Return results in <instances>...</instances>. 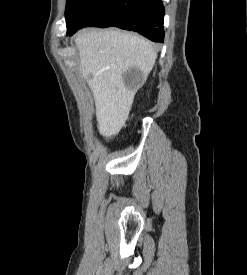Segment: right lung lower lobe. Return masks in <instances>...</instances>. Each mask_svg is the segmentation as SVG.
<instances>
[{"label":"right lung lower lobe","mask_w":247,"mask_h":275,"mask_svg":"<svg viewBox=\"0 0 247 275\" xmlns=\"http://www.w3.org/2000/svg\"><path fill=\"white\" fill-rule=\"evenodd\" d=\"M164 12L161 0H102L81 14L67 29V35L87 26H115L138 32L154 42H163Z\"/></svg>","instance_id":"98d812e1"}]
</instances>
